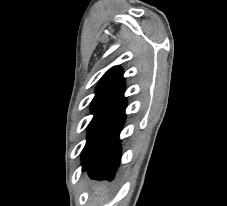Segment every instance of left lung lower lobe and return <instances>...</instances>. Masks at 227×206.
<instances>
[{
	"instance_id": "left-lung-lower-lobe-1",
	"label": "left lung lower lobe",
	"mask_w": 227,
	"mask_h": 206,
	"mask_svg": "<svg viewBox=\"0 0 227 206\" xmlns=\"http://www.w3.org/2000/svg\"><path fill=\"white\" fill-rule=\"evenodd\" d=\"M124 90L104 112L92 138L91 150L82 160L83 171L91 178L112 180L120 162L119 134L125 121Z\"/></svg>"
}]
</instances>
